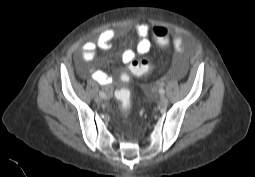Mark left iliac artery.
<instances>
[{"mask_svg":"<svg viewBox=\"0 0 255 177\" xmlns=\"http://www.w3.org/2000/svg\"><path fill=\"white\" fill-rule=\"evenodd\" d=\"M159 93H160V94H164V93H165L164 89H160V90H159Z\"/></svg>","mask_w":255,"mask_h":177,"instance_id":"left-iliac-artery-1","label":"left iliac artery"}]
</instances>
